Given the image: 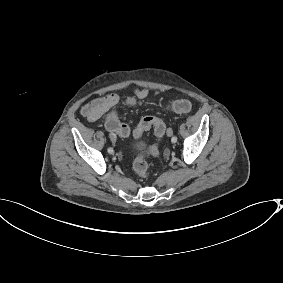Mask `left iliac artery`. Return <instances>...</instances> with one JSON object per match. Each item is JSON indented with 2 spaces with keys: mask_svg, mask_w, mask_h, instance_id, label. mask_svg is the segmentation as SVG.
Returning <instances> with one entry per match:
<instances>
[{
  "mask_svg": "<svg viewBox=\"0 0 283 283\" xmlns=\"http://www.w3.org/2000/svg\"><path fill=\"white\" fill-rule=\"evenodd\" d=\"M171 141H172L173 143H176V142H177V137H176V136H173L172 139H171Z\"/></svg>",
  "mask_w": 283,
  "mask_h": 283,
  "instance_id": "obj_1",
  "label": "left iliac artery"
}]
</instances>
